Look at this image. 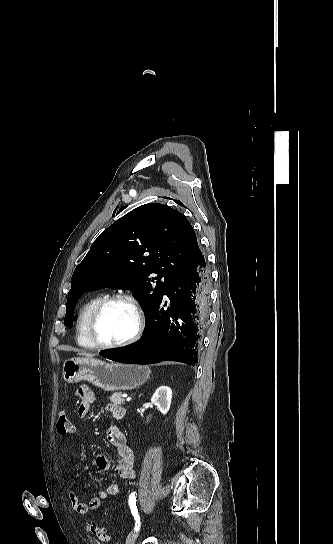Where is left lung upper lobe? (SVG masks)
I'll use <instances>...</instances> for the list:
<instances>
[{
    "mask_svg": "<svg viewBox=\"0 0 333 544\" xmlns=\"http://www.w3.org/2000/svg\"><path fill=\"white\" fill-rule=\"evenodd\" d=\"M201 254L190 222L179 211L159 203L132 210L98 236L76 267L65 325L72 327L83 293L105 287L130 289L148 312Z\"/></svg>",
    "mask_w": 333,
    "mask_h": 544,
    "instance_id": "5c2ea615",
    "label": "left lung upper lobe"
}]
</instances>
